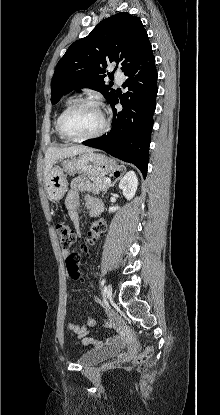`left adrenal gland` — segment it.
Segmentation results:
<instances>
[{
    "instance_id": "a2214340",
    "label": "left adrenal gland",
    "mask_w": 220,
    "mask_h": 415,
    "mask_svg": "<svg viewBox=\"0 0 220 415\" xmlns=\"http://www.w3.org/2000/svg\"><path fill=\"white\" fill-rule=\"evenodd\" d=\"M119 179V178H118ZM118 179H116L110 186H114V184L118 181Z\"/></svg>"
}]
</instances>
